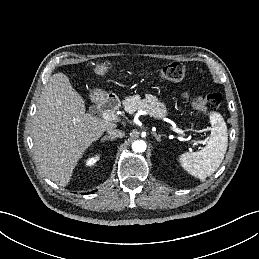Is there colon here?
Masks as SVG:
<instances>
[{
  "instance_id": "5ec220e1",
  "label": "colon",
  "mask_w": 259,
  "mask_h": 259,
  "mask_svg": "<svg viewBox=\"0 0 259 259\" xmlns=\"http://www.w3.org/2000/svg\"><path fill=\"white\" fill-rule=\"evenodd\" d=\"M185 66L179 62L169 63L159 70V77L167 82L179 83L185 77ZM193 109L207 114L216 112L223 102L221 93L214 92L207 95L191 96L189 93L184 94Z\"/></svg>"
}]
</instances>
